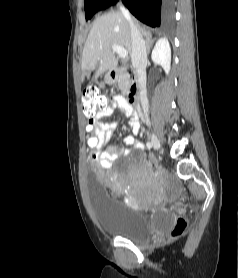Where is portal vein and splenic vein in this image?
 <instances>
[{"instance_id":"portal-vein-and-splenic-vein-1","label":"portal vein and splenic vein","mask_w":238,"mask_h":278,"mask_svg":"<svg viewBox=\"0 0 238 278\" xmlns=\"http://www.w3.org/2000/svg\"><path fill=\"white\" fill-rule=\"evenodd\" d=\"M112 50L116 52L122 59H125L128 56V51L122 46L112 45Z\"/></svg>"}]
</instances>
